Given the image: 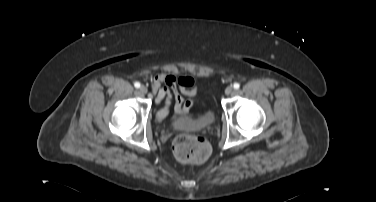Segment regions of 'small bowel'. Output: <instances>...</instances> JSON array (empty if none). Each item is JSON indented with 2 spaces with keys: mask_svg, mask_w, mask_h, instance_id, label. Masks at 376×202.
<instances>
[{
  "mask_svg": "<svg viewBox=\"0 0 376 202\" xmlns=\"http://www.w3.org/2000/svg\"><path fill=\"white\" fill-rule=\"evenodd\" d=\"M152 92L156 104H163L157 112V119H164L171 104L174 105L175 115L187 114L194 104L198 86L190 76L177 77L171 73H160L151 81ZM184 97H187L185 100Z\"/></svg>",
  "mask_w": 376,
  "mask_h": 202,
  "instance_id": "obj_1",
  "label": "small bowel"
}]
</instances>
